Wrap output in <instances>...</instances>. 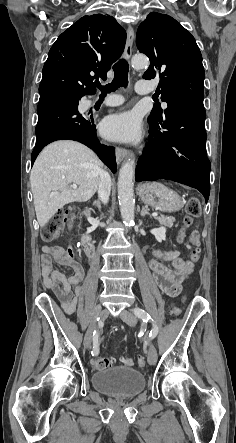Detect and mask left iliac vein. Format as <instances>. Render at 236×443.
Instances as JSON below:
<instances>
[{
	"instance_id": "1",
	"label": "left iliac vein",
	"mask_w": 236,
	"mask_h": 443,
	"mask_svg": "<svg viewBox=\"0 0 236 443\" xmlns=\"http://www.w3.org/2000/svg\"><path fill=\"white\" fill-rule=\"evenodd\" d=\"M120 317H121V319H122L126 324H128L129 326H132V327H133V326H135L136 323H137V318H136V316H135L133 313L127 311V310H123V311L121 312V314H120ZM157 358H158V355H157L156 348H155V346L150 342V343H149V349H148V357H147V359H148V363H149L150 365H154V364H156V362H157Z\"/></svg>"
}]
</instances>
